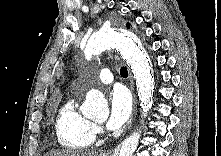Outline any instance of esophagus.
<instances>
[{
	"label": "esophagus",
	"mask_w": 221,
	"mask_h": 156,
	"mask_svg": "<svg viewBox=\"0 0 221 156\" xmlns=\"http://www.w3.org/2000/svg\"><path fill=\"white\" fill-rule=\"evenodd\" d=\"M129 78H130V85H131V90L133 92V97H134V105L136 104V97H135V93H134V83H133V79L131 74L129 73ZM111 149L109 150H104L101 152L100 156H110L111 154Z\"/></svg>",
	"instance_id": "1"
}]
</instances>
